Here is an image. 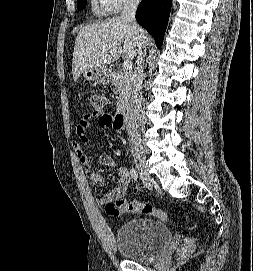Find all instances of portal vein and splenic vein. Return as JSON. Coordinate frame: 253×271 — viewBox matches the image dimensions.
Returning <instances> with one entry per match:
<instances>
[{
	"label": "portal vein and splenic vein",
	"mask_w": 253,
	"mask_h": 271,
	"mask_svg": "<svg viewBox=\"0 0 253 271\" xmlns=\"http://www.w3.org/2000/svg\"><path fill=\"white\" fill-rule=\"evenodd\" d=\"M122 67H123L125 70H130V69H132L133 64H132L131 61L125 60V61L123 62V64H122Z\"/></svg>",
	"instance_id": "18ae733b"
}]
</instances>
